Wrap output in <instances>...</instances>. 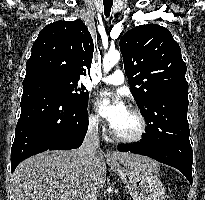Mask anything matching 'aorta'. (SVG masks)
Listing matches in <instances>:
<instances>
[{
	"label": "aorta",
	"mask_w": 205,
	"mask_h": 200,
	"mask_svg": "<svg viewBox=\"0 0 205 200\" xmlns=\"http://www.w3.org/2000/svg\"><path fill=\"white\" fill-rule=\"evenodd\" d=\"M120 60V52L118 50H110L105 54L103 59V69L108 72Z\"/></svg>",
	"instance_id": "aorta-1"
}]
</instances>
